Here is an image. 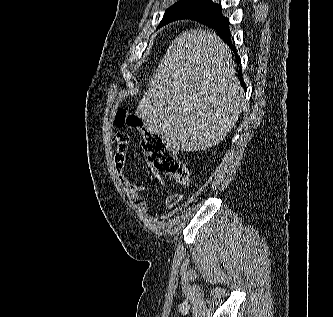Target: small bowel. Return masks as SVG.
I'll use <instances>...</instances> for the list:
<instances>
[{
    "label": "small bowel",
    "mask_w": 333,
    "mask_h": 317,
    "mask_svg": "<svg viewBox=\"0 0 333 317\" xmlns=\"http://www.w3.org/2000/svg\"><path fill=\"white\" fill-rule=\"evenodd\" d=\"M113 143L116 146V153L114 157V166L118 175V180L122 185L128 199L133 204L135 209L140 213H145L147 210V204L143 199V192L145 187L133 182H130L123 173V169L126 162V152L129 144V136L126 133L119 132L113 138ZM157 180L164 184V179L161 175L154 172ZM181 195L178 193H172L168 195L166 199V205L173 207L179 203Z\"/></svg>",
    "instance_id": "small-bowel-1"
}]
</instances>
